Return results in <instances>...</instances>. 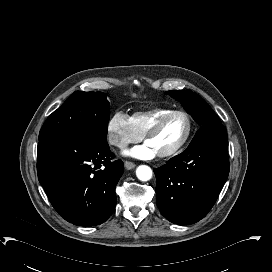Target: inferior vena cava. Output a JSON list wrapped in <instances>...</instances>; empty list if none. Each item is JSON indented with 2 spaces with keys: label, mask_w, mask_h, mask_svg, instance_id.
Returning <instances> with one entry per match:
<instances>
[{
  "label": "inferior vena cava",
  "mask_w": 272,
  "mask_h": 272,
  "mask_svg": "<svg viewBox=\"0 0 272 272\" xmlns=\"http://www.w3.org/2000/svg\"><path fill=\"white\" fill-rule=\"evenodd\" d=\"M110 143L113 144V145H121V144L119 143V141H118L117 138H112V139L110 140Z\"/></svg>",
  "instance_id": "602c4592"
}]
</instances>
